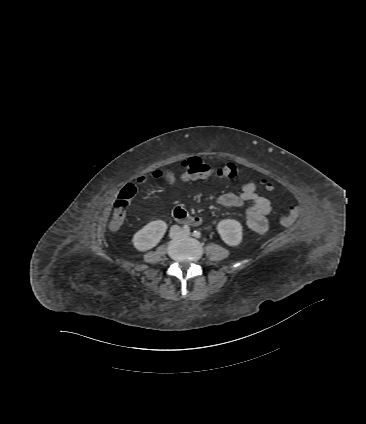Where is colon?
<instances>
[{
  "label": "colon",
  "mask_w": 366,
  "mask_h": 424,
  "mask_svg": "<svg viewBox=\"0 0 366 424\" xmlns=\"http://www.w3.org/2000/svg\"><path fill=\"white\" fill-rule=\"evenodd\" d=\"M183 177L185 179L190 178H205L210 174V167L198 157H191L182 161ZM164 174L163 171H155L153 176L155 178H161ZM215 174L220 178H238L241 175V171L236 164L227 163L219 166L215 170ZM260 184L264 190L268 193H276L275 187L266 180H260ZM136 189L134 186L129 185L124 188L116 199L111 209L109 227L112 230L119 229L125 219L127 208L130 201L134 197ZM298 209L291 206L287 211L282 212L279 217V223L284 227L291 226L297 219Z\"/></svg>",
  "instance_id": "colon-1"
}]
</instances>
